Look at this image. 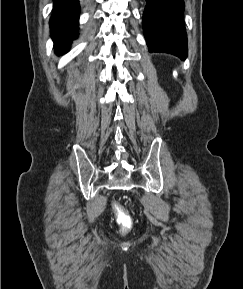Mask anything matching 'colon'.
<instances>
[{
  "instance_id": "colon-1",
  "label": "colon",
  "mask_w": 243,
  "mask_h": 289,
  "mask_svg": "<svg viewBox=\"0 0 243 289\" xmlns=\"http://www.w3.org/2000/svg\"><path fill=\"white\" fill-rule=\"evenodd\" d=\"M113 210L116 216V221L120 226L121 232L126 233L132 227V218L128 212L117 202L113 203Z\"/></svg>"
}]
</instances>
